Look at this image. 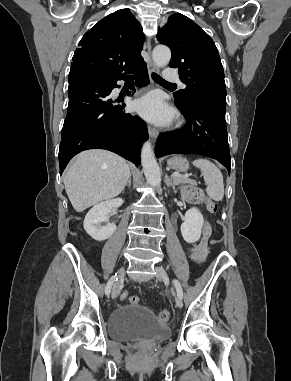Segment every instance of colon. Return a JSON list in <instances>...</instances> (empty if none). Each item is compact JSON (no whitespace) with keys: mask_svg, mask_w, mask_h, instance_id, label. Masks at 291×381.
Wrapping results in <instances>:
<instances>
[{"mask_svg":"<svg viewBox=\"0 0 291 381\" xmlns=\"http://www.w3.org/2000/svg\"><path fill=\"white\" fill-rule=\"evenodd\" d=\"M182 195L186 200H188L191 203H199V202H205L208 210L211 213H215L217 211V204L215 201L207 199L205 197V194L203 190L193 184L185 185L182 188ZM121 300H128L132 304H138L139 298L136 295H128L127 292H122L120 294ZM158 320L161 322H167L170 318V312L168 310H162L158 313Z\"/></svg>","mask_w":291,"mask_h":381,"instance_id":"5ec220e1","label":"colon"}]
</instances>
